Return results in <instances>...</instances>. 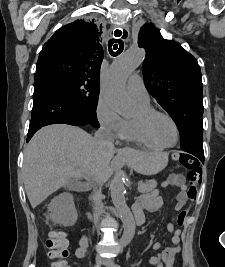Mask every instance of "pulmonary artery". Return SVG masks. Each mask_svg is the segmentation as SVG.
Returning a JSON list of instances; mask_svg holds the SVG:
<instances>
[{
  "instance_id": "e3ab8cb5",
  "label": "pulmonary artery",
  "mask_w": 225,
  "mask_h": 267,
  "mask_svg": "<svg viewBox=\"0 0 225 267\" xmlns=\"http://www.w3.org/2000/svg\"><path fill=\"white\" fill-rule=\"evenodd\" d=\"M127 91L135 101H149V94L144 85L141 75L135 73L130 76L127 82Z\"/></svg>"
}]
</instances>
